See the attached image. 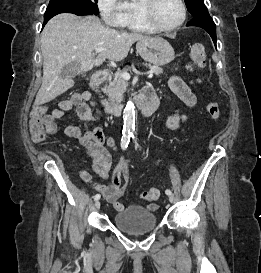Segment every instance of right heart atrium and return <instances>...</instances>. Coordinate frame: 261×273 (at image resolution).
<instances>
[{"label":"right heart atrium","mask_w":261,"mask_h":273,"mask_svg":"<svg viewBox=\"0 0 261 273\" xmlns=\"http://www.w3.org/2000/svg\"><path fill=\"white\" fill-rule=\"evenodd\" d=\"M103 21L110 26L119 27L123 17V0H97Z\"/></svg>","instance_id":"1"}]
</instances>
